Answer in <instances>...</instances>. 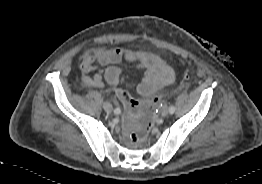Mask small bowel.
Here are the masks:
<instances>
[{
    "mask_svg": "<svg viewBox=\"0 0 262 184\" xmlns=\"http://www.w3.org/2000/svg\"><path fill=\"white\" fill-rule=\"evenodd\" d=\"M79 60L83 84L88 87H101L104 81L112 86L124 81L133 84L118 66L122 61L133 63L143 72L141 81L136 84V89L142 96H150L158 89L171 84L175 76L170 66L165 65L159 56L151 53L98 48L83 53ZM96 63L105 68H98Z\"/></svg>",
    "mask_w": 262,
    "mask_h": 184,
    "instance_id": "c3829d8e",
    "label": "small bowel"
}]
</instances>
